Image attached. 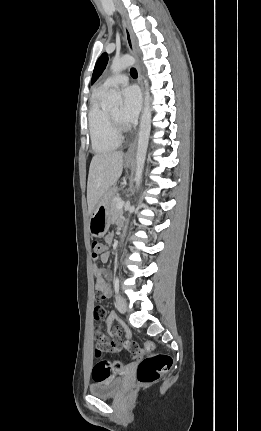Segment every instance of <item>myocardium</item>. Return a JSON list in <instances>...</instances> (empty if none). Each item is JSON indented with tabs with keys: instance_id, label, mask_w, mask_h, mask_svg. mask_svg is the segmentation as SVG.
<instances>
[{
	"instance_id": "obj_1",
	"label": "myocardium",
	"mask_w": 261,
	"mask_h": 431,
	"mask_svg": "<svg viewBox=\"0 0 261 431\" xmlns=\"http://www.w3.org/2000/svg\"><path fill=\"white\" fill-rule=\"evenodd\" d=\"M108 117L114 132L121 138L123 132L125 131L124 127L120 124V122L117 119H115L111 115V113H108Z\"/></svg>"
}]
</instances>
